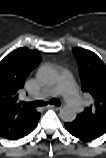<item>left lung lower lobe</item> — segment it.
<instances>
[{
  "label": "left lung lower lobe",
  "instance_id": "1",
  "mask_svg": "<svg viewBox=\"0 0 106 158\" xmlns=\"http://www.w3.org/2000/svg\"><path fill=\"white\" fill-rule=\"evenodd\" d=\"M66 129L75 137L85 140H90L89 137L82 134L75 126H73L71 123H65Z\"/></svg>",
  "mask_w": 106,
  "mask_h": 158
}]
</instances>
